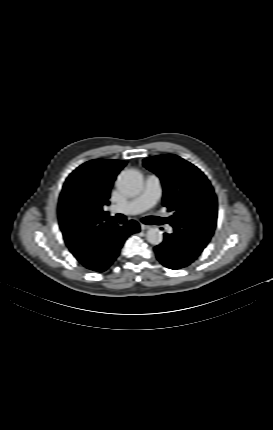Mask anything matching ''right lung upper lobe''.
I'll list each match as a JSON object with an SVG mask.
<instances>
[{
  "label": "right lung upper lobe",
  "mask_w": 273,
  "mask_h": 430,
  "mask_svg": "<svg viewBox=\"0 0 273 430\" xmlns=\"http://www.w3.org/2000/svg\"><path fill=\"white\" fill-rule=\"evenodd\" d=\"M127 162L95 159L74 170L66 179L59 198V225L69 250L80 259L89 251L94 234L116 224L103 211L110 189Z\"/></svg>",
  "instance_id": "cb5924a9"
}]
</instances>
